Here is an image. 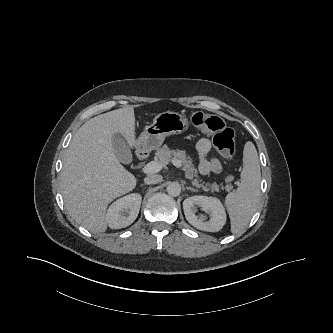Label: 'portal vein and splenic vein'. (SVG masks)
Wrapping results in <instances>:
<instances>
[{
	"instance_id": "portal-vein-and-splenic-vein-1",
	"label": "portal vein and splenic vein",
	"mask_w": 333,
	"mask_h": 333,
	"mask_svg": "<svg viewBox=\"0 0 333 333\" xmlns=\"http://www.w3.org/2000/svg\"><path fill=\"white\" fill-rule=\"evenodd\" d=\"M172 163L176 167H181L182 163L180 160L173 158ZM164 164L160 161H151L147 163L143 168L142 172L145 174L157 173L162 170Z\"/></svg>"
}]
</instances>
